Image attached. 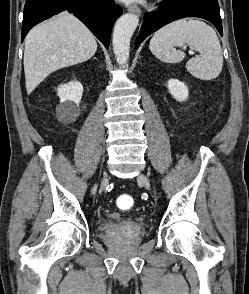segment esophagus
<instances>
[{
    "label": "esophagus",
    "mask_w": 249,
    "mask_h": 294,
    "mask_svg": "<svg viewBox=\"0 0 249 294\" xmlns=\"http://www.w3.org/2000/svg\"><path fill=\"white\" fill-rule=\"evenodd\" d=\"M128 10L132 13L137 14L138 16L141 15V9L136 5L130 6Z\"/></svg>",
    "instance_id": "34e87169"
}]
</instances>
